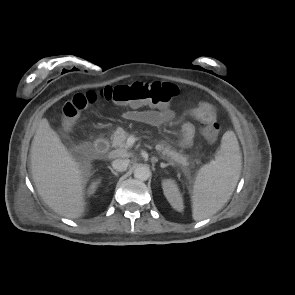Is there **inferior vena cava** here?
Returning <instances> with one entry per match:
<instances>
[{
  "label": "inferior vena cava",
  "mask_w": 295,
  "mask_h": 295,
  "mask_svg": "<svg viewBox=\"0 0 295 295\" xmlns=\"http://www.w3.org/2000/svg\"><path fill=\"white\" fill-rule=\"evenodd\" d=\"M129 159H116L112 162V166L115 170L123 172L129 165Z\"/></svg>",
  "instance_id": "1"
}]
</instances>
